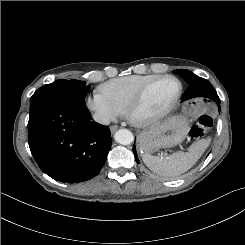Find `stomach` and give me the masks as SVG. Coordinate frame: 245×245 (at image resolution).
<instances>
[{"label":"stomach","mask_w":245,"mask_h":245,"mask_svg":"<svg viewBox=\"0 0 245 245\" xmlns=\"http://www.w3.org/2000/svg\"><path fill=\"white\" fill-rule=\"evenodd\" d=\"M190 124L185 116L169 118L139 134L138 147L144 153H151L160 148H169L181 143L187 136Z\"/></svg>","instance_id":"obj_1"}]
</instances>
